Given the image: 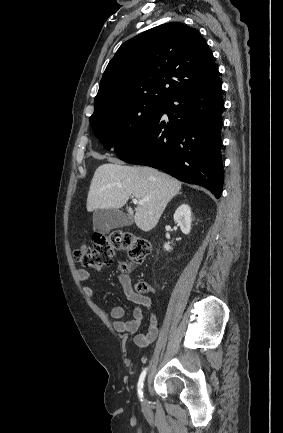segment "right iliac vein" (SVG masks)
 <instances>
[{
	"label": "right iliac vein",
	"mask_w": 283,
	"mask_h": 433,
	"mask_svg": "<svg viewBox=\"0 0 283 433\" xmlns=\"http://www.w3.org/2000/svg\"><path fill=\"white\" fill-rule=\"evenodd\" d=\"M144 406H146V402H144ZM145 410H146V407H145Z\"/></svg>",
	"instance_id": "obj_1"
}]
</instances>
